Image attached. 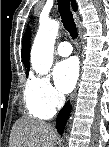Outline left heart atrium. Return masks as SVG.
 <instances>
[{"mask_svg": "<svg viewBox=\"0 0 109 147\" xmlns=\"http://www.w3.org/2000/svg\"><path fill=\"white\" fill-rule=\"evenodd\" d=\"M53 79L57 89L69 93L78 79V65L75 59L69 58L59 62L53 70Z\"/></svg>", "mask_w": 109, "mask_h": 147, "instance_id": "39dd6f15", "label": "left heart atrium"}]
</instances>
